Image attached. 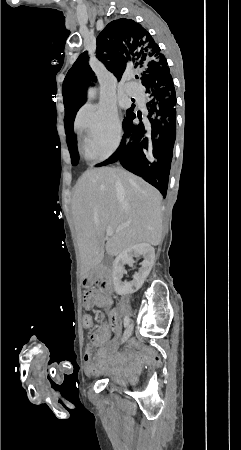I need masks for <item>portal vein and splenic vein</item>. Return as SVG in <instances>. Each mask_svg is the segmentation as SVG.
<instances>
[{
	"label": "portal vein and splenic vein",
	"instance_id": "portal-vein-and-splenic-vein-1",
	"mask_svg": "<svg viewBox=\"0 0 241 450\" xmlns=\"http://www.w3.org/2000/svg\"><path fill=\"white\" fill-rule=\"evenodd\" d=\"M106 236H113V230H112V228H107V230H106Z\"/></svg>",
	"mask_w": 241,
	"mask_h": 450
}]
</instances>
